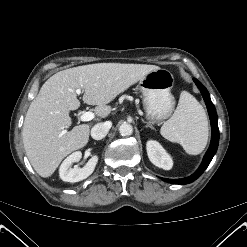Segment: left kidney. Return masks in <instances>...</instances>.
Listing matches in <instances>:
<instances>
[{
    "label": "left kidney",
    "instance_id": "5707ae66",
    "mask_svg": "<svg viewBox=\"0 0 247 247\" xmlns=\"http://www.w3.org/2000/svg\"><path fill=\"white\" fill-rule=\"evenodd\" d=\"M147 154L149 160L157 167L164 170H170L173 166L171 156L161 146V144L154 140H149L146 144Z\"/></svg>",
    "mask_w": 247,
    "mask_h": 247
}]
</instances>
